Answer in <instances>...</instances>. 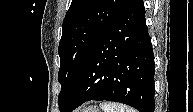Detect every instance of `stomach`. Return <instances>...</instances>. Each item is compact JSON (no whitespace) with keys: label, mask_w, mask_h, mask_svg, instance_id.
Wrapping results in <instances>:
<instances>
[{"label":"stomach","mask_w":193,"mask_h":112,"mask_svg":"<svg viewBox=\"0 0 193 112\" xmlns=\"http://www.w3.org/2000/svg\"><path fill=\"white\" fill-rule=\"evenodd\" d=\"M83 112H98V109L96 107H88Z\"/></svg>","instance_id":"obj_1"}]
</instances>
